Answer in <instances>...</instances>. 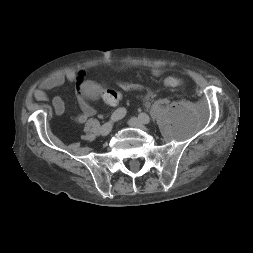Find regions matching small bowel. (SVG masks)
I'll return each instance as SVG.
<instances>
[{"mask_svg": "<svg viewBox=\"0 0 253 253\" xmlns=\"http://www.w3.org/2000/svg\"><path fill=\"white\" fill-rule=\"evenodd\" d=\"M133 68V65H122L115 67V71L123 72ZM165 73L163 68H155L152 71L154 77H161ZM84 79V74L82 72L76 73L73 71L56 74L44 79L37 90L34 92V98L40 102L48 101L47 91L53 88L63 85L65 82L75 83L78 89V104L80 107V112L76 115V122L82 124L85 123L90 117L95 114V110L86 102L84 97L80 94V85ZM52 106L54 113L56 115H61L65 110V104L61 97H55L52 101Z\"/></svg>", "mask_w": 253, "mask_h": 253, "instance_id": "small-bowel-1", "label": "small bowel"}]
</instances>
